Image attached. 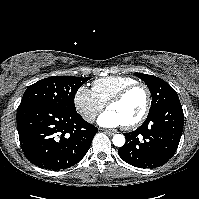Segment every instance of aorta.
I'll return each mask as SVG.
<instances>
[{"label": "aorta", "mask_w": 199, "mask_h": 199, "mask_svg": "<svg viewBox=\"0 0 199 199\" xmlns=\"http://www.w3.org/2000/svg\"><path fill=\"white\" fill-rule=\"evenodd\" d=\"M112 142L117 147H122L125 144V137L122 134H115Z\"/></svg>", "instance_id": "762f6f07"}]
</instances>
